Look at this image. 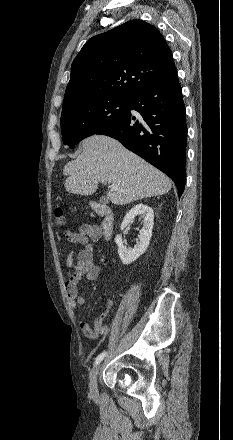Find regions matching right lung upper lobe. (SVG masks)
<instances>
[{
    "mask_svg": "<svg viewBox=\"0 0 233 440\" xmlns=\"http://www.w3.org/2000/svg\"><path fill=\"white\" fill-rule=\"evenodd\" d=\"M162 34L142 20L92 37L71 66L63 108L92 98L129 99L175 71Z\"/></svg>",
    "mask_w": 233,
    "mask_h": 440,
    "instance_id": "obj_1",
    "label": "right lung upper lobe"
}]
</instances>
